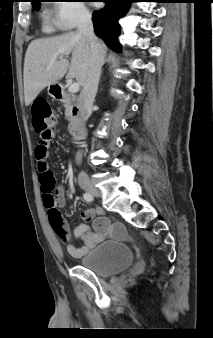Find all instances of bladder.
<instances>
[{
  "instance_id": "bladder-1",
  "label": "bladder",
  "mask_w": 213,
  "mask_h": 338,
  "mask_svg": "<svg viewBox=\"0 0 213 338\" xmlns=\"http://www.w3.org/2000/svg\"><path fill=\"white\" fill-rule=\"evenodd\" d=\"M133 263V255L127 243L101 242L86 253L80 265L100 278L122 273Z\"/></svg>"
}]
</instances>
